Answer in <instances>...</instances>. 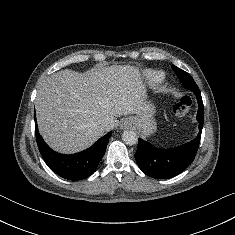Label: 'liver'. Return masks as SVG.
I'll list each match as a JSON object with an SVG mask.
<instances>
[{
    "mask_svg": "<svg viewBox=\"0 0 235 235\" xmlns=\"http://www.w3.org/2000/svg\"><path fill=\"white\" fill-rule=\"evenodd\" d=\"M146 90L138 68L114 65L87 73L62 70L48 77L35 100L39 131L54 150L71 154L118 126L116 117L138 114ZM102 121L108 127H100Z\"/></svg>",
    "mask_w": 235,
    "mask_h": 235,
    "instance_id": "obj_1",
    "label": "liver"
}]
</instances>
